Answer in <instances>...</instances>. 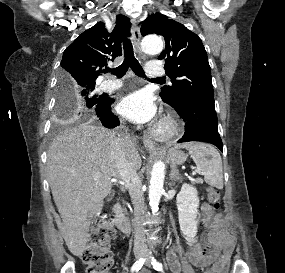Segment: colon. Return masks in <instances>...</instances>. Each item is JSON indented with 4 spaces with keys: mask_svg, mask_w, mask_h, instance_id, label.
I'll use <instances>...</instances> for the list:
<instances>
[{
    "mask_svg": "<svg viewBox=\"0 0 285 273\" xmlns=\"http://www.w3.org/2000/svg\"><path fill=\"white\" fill-rule=\"evenodd\" d=\"M208 200L215 209L220 208V192L218 189L208 190ZM114 230L107 219L97 220L91 229L88 243L84 248L81 257L87 267V273H110L113 267V257L110 251L111 240ZM204 273H215L208 268Z\"/></svg>",
    "mask_w": 285,
    "mask_h": 273,
    "instance_id": "5ec220e1",
    "label": "colon"
}]
</instances>
